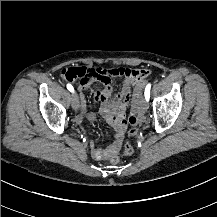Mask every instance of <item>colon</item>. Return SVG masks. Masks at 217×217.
<instances>
[{
	"instance_id": "1",
	"label": "colon",
	"mask_w": 217,
	"mask_h": 217,
	"mask_svg": "<svg viewBox=\"0 0 217 217\" xmlns=\"http://www.w3.org/2000/svg\"><path fill=\"white\" fill-rule=\"evenodd\" d=\"M105 69H88L86 67H69L61 71V75L63 78L70 82H76L81 80L82 83H87L105 72ZM111 73L115 76H126L132 77L134 74H145L150 72L145 69H138V68H129V67H115L111 70ZM149 82L147 80H141L136 82V86L133 87L132 90V103H131V115L129 117L130 129L129 134L130 136H134L137 132L136 120L138 117V106H139V91H142ZM124 149L127 155H133L134 149L130 143L124 144ZM113 164L119 163L118 157L112 158Z\"/></svg>"
}]
</instances>
